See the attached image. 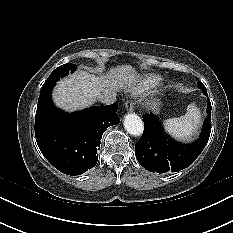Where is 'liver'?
I'll return each instance as SVG.
<instances>
[{"label":"liver","mask_w":233,"mask_h":233,"mask_svg":"<svg viewBox=\"0 0 233 233\" xmlns=\"http://www.w3.org/2000/svg\"><path fill=\"white\" fill-rule=\"evenodd\" d=\"M136 78V70L130 65L117 66L98 77L80 70L58 83L53 92V101L66 111L83 109L91 106L100 94L130 88Z\"/></svg>","instance_id":"liver-1"}]
</instances>
